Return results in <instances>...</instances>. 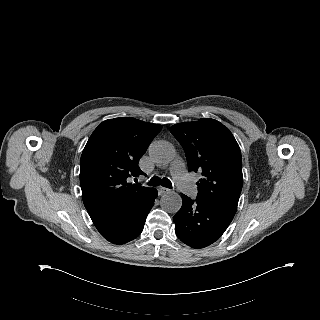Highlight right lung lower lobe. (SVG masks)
Listing matches in <instances>:
<instances>
[{
    "label": "right lung lower lobe",
    "mask_w": 320,
    "mask_h": 320,
    "mask_svg": "<svg viewBox=\"0 0 320 320\" xmlns=\"http://www.w3.org/2000/svg\"><path fill=\"white\" fill-rule=\"evenodd\" d=\"M157 195V190L153 188L134 206L114 215L94 220L93 223L109 242L119 245L127 243L141 234Z\"/></svg>",
    "instance_id": "obj_1"
}]
</instances>
